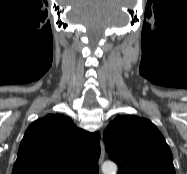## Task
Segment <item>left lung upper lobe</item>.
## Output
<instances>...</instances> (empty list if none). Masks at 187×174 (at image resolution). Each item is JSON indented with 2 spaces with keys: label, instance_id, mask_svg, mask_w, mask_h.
<instances>
[{
  "label": "left lung upper lobe",
  "instance_id": "left-lung-upper-lobe-1",
  "mask_svg": "<svg viewBox=\"0 0 187 174\" xmlns=\"http://www.w3.org/2000/svg\"><path fill=\"white\" fill-rule=\"evenodd\" d=\"M103 136L109 158L118 165V174H175L170 148L150 120L117 116Z\"/></svg>",
  "mask_w": 187,
  "mask_h": 174
}]
</instances>
